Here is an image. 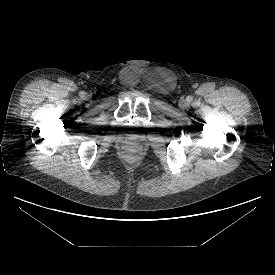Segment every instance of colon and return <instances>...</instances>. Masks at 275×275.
Listing matches in <instances>:
<instances>
[{"mask_svg":"<svg viewBox=\"0 0 275 275\" xmlns=\"http://www.w3.org/2000/svg\"><path fill=\"white\" fill-rule=\"evenodd\" d=\"M140 151L135 146H130L126 149L125 157L128 161H135L139 158Z\"/></svg>","mask_w":275,"mask_h":275,"instance_id":"colon-1","label":"colon"}]
</instances>
